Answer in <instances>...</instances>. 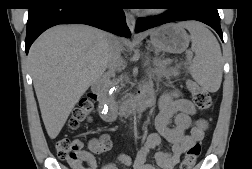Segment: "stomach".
<instances>
[{
  "mask_svg": "<svg viewBox=\"0 0 252 169\" xmlns=\"http://www.w3.org/2000/svg\"><path fill=\"white\" fill-rule=\"evenodd\" d=\"M189 35L180 24L169 23L155 29L150 36L151 44L169 53H182L189 45Z\"/></svg>",
  "mask_w": 252,
  "mask_h": 169,
  "instance_id": "0dacf381",
  "label": "stomach"
}]
</instances>
